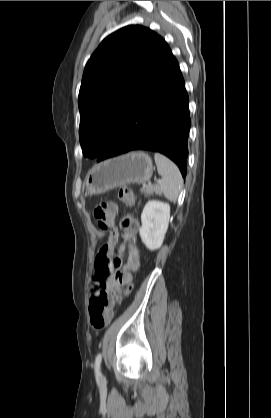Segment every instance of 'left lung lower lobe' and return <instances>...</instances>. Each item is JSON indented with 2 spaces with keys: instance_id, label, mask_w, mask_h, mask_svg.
<instances>
[{
  "instance_id": "0a47b994",
  "label": "left lung lower lobe",
  "mask_w": 271,
  "mask_h": 418,
  "mask_svg": "<svg viewBox=\"0 0 271 418\" xmlns=\"http://www.w3.org/2000/svg\"><path fill=\"white\" fill-rule=\"evenodd\" d=\"M189 97L173 54L138 98L98 161L132 150L160 152L187 173V140L191 126Z\"/></svg>"
}]
</instances>
